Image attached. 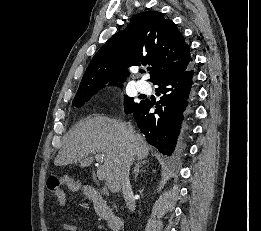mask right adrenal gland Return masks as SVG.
Wrapping results in <instances>:
<instances>
[{
	"label": "right adrenal gland",
	"mask_w": 261,
	"mask_h": 231,
	"mask_svg": "<svg viewBox=\"0 0 261 231\" xmlns=\"http://www.w3.org/2000/svg\"><path fill=\"white\" fill-rule=\"evenodd\" d=\"M146 163L147 162L143 161V162H138V163L135 164L134 171H133L135 181L137 180L139 172H146V170L140 169L142 167V165H144Z\"/></svg>",
	"instance_id": "right-adrenal-gland-1"
}]
</instances>
